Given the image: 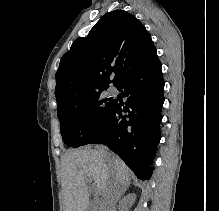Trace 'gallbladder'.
Segmentation results:
<instances>
[{"label":"gallbladder","mask_w":219,"mask_h":211,"mask_svg":"<svg viewBox=\"0 0 219 211\" xmlns=\"http://www.w3.org/2000/svg\"><path fill=\"white\" fill-rule=\"evenodd\" d=\"M88 211H97L95 205H91L90 209H88Z\"/></svg>","instance_id":"bac80fb5"}]
</instances>
